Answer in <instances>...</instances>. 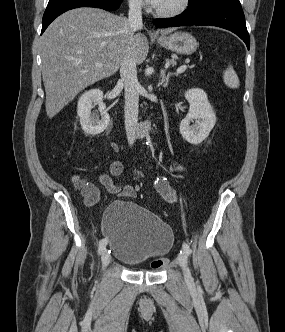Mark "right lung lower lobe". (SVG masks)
Wrapping results in <instances>:
<instances>
[{
  "label": "right lung lower lobe",
  "instance_id": "right-lung-lower-lobe-1",
  "mask_svg": "<svg viewBox=\"0 0 285 332\" xmlns=\"http://www.w3.org/2000/svg\"><path fill=\"white\" fill-rule=\"evenodd\" d=\"M122 0H49L42 20V31L60 14L78 7H96L107 11L116 10Z\"/></svg>",
  "mask_w": 285,
  "mask_h": 332
}]
</instances>
